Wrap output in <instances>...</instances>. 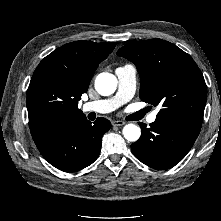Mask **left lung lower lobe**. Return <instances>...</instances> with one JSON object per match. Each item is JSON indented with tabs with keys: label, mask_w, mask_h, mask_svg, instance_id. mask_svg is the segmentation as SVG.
Instances as JSON below:
<instances>
[{
	"label": "left lung lower lobe",
	"mask_w": 221,
	"mask_h": 221,
	"mask_svg": "<svg viewBox=\"0 0 221 221\" xmlns=\"http://www.w3.org/2000/svg\"><path fill=\"white\" fill-rule=\"evenodd\" d=\"M131 145L135 157L154 169H169L178 164L193 146L201 126L176 120L158 119Z\"/></svg>",
	"instance_id": "0a47b994"
}]
</instances>
